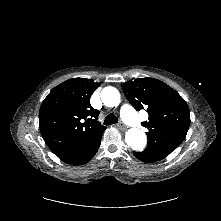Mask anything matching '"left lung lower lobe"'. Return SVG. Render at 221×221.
Here are the masks:
<instances>
[{
	"label": "left lung lower lobe",
	"mask_w": 221,
	"mask_h": 221,
	"mask_svg": "<svg viewBox=\"0 0 221 221\" xmlns=\"http://www.w3.org/2000/svg\"><path fill=\"white\" fill-rule=\"evenodd\" d=\"M133 155L140 161L150 163L162 160L163 158L167 157V155L169 154L155 150L145 149L142 152H133Z\"/></svg>",
	"instance_id": "1"
}]
</instances>
